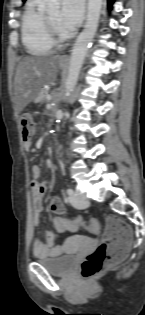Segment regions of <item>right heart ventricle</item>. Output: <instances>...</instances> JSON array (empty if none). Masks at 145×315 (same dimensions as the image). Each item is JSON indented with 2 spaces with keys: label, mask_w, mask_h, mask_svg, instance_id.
I'll return each mask as SVG.
<instances>
[{
  "label": "right heart ventricle",
  "mask_w": 145,
  "mask_h": 315,
  "mask_svg": "<svg viewBox=\"0 0 145 315\" xmlns=\"http://www.w3.org/2000/svg\"><path fill=\"white\" fill-rule=\"evenodd\" d=\"M22 42L28 53L46 55L55 44L50 40L45 27V13L40 0H29L21 22Z\"/></svg>",
  "instance_id": "1"
}]
</instances>
